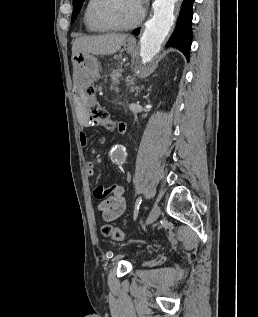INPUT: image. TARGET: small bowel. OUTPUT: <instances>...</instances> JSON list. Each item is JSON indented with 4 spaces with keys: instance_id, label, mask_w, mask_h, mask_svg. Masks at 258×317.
Returning a JSON list of instances; mask_svg holds the SVG:
<instances>
[{
    "instance_id": "c3829d8e",
    "label": "small bowel",
    "mask_w": 258,
    "mask_h": 317,
    "mask_svg": "<svg viewBox=\"0 0 258 317\" xmlns=\"http://www.w3.org/2000/svg\"><path fill=\"white\" fill-rule=\"evenodd\" d=\"M116 125L119 132L123 133L125 131V126L122 123H117ZM83 126H86L85 122H83ZM79 140L82 146H87L88 136L83 130L79 133ZM85 170L89 177H93L95 174L94 163L87 160ZM94 197L101 200L97 209L101 213L102 219L106 222L116 220L125 211L124 188L118 184L97 186L94 190Z\"/></svg>"
}]
</instances>
